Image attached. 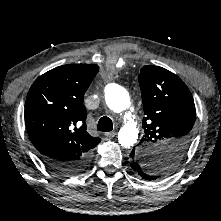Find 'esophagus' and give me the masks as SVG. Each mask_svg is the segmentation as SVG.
Masks as SVG:
<instances>
[{
  "mask_svg": "<svg viewBox=\"0 0 221 221\" xmlns=\"http://www.w3.org/2000/svg\"><path fill=\"white\" fill-rule=\"evenodd\" d=\"M116 135L115 131L105 133V136L109 139L113 138Z\"/></svg>",
  "mask_w": 221,
  "mask_h": 221,
  "instance_id": "obj_1",
  "label": "esophagus"
}]
</instances>
